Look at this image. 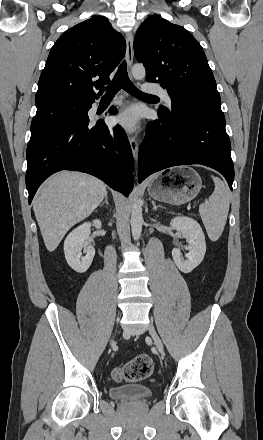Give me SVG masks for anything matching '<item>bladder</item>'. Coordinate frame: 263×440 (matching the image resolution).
<instances>
[{
    "label": "bladder",
    "mask_w": 263,
    "mask_h": 440,
    "mask_svg": "<svg viewBox=\"0 0 263 440\" xmlns=\"http://www.w3.org/2000/svg\"><path fill=\"white\" fill-rule=\"evenodd\" d=\"M108 394L116 401H145L152 397V392L144 386L123 385L110 387Z\"/></svg>",
    "instance_id": "1"
}]
</instances>
